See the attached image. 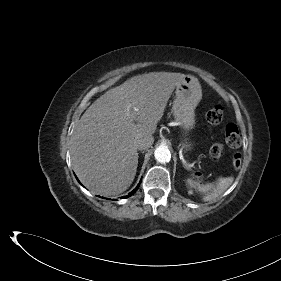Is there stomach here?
I'll return each instance as SVG.
<instances>
[{
	"instance_id": "stomach-1",
	"label": "stomach",
	"mask_w": 281,
	"mask_h": 281,
	"mask_svg": "<svg viewBox=\"0 0 281 281\" xmlns=\"http://www.w3.org/2000/svg\"><path fill=\"white\" fill-rule=\"evenodd\" d=\"M201 98L202 90L198 79L191 75H185L176 86L172 112L175 120L186 131L194 127L195 108ZM185 147L190 148V144L186 143Z\"/></svg>"
}]
</instances>
